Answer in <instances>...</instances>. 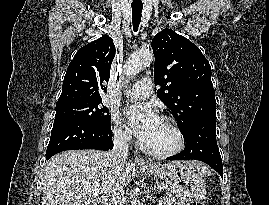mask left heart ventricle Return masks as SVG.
Instances as JSON below:
<instances>
[{"label":"left heart ventricle","instance_id":"obj_1","mask_svg":"<svg viewBox=\"0 0 269 205\" xmlns=\"http://www.w3.org/2000/svg\"><path fill=\"white\" fill-rule=\"evenodd\" d=\"M145 145L156 151L169 150L176 145V137L168 123L161 120L153 137Z\"/></svg>","mask_w":269,"mask_h":205}]
</instances>
